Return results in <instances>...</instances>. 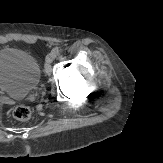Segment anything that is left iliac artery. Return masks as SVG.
Returning <instances> with one entry per match:
<instances>
[{"instance_id":"44dca946","label":"left iliac artery","mask_w":163,"mask_h":163,"mask_svg":"<svg viewBox=\"0 0 163 163\" xmlns=\"http://www.w3.org/2000/svg\"><path fill=\"white\" fill-rule=\"evenodd\" d=\"M52 51H54L56 53V55H57V54H59L60 49L58 47H55Z\"/></svg>"}]
</instances>
